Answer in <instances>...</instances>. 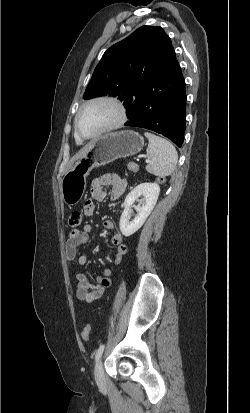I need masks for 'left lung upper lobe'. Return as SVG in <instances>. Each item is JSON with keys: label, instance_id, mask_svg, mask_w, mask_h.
Segmentation results:
<instances>
[{"label": "left lung upper lobe", "instance_id": "obj_1", "mask_svg": "<svg viewBox=\"0 0 250 413\" xmlns=\"http://www.w3.org/2000/svg\"><path fill=\"white\" fill-rule=\"evenodd\" d=\"M172 50L171 40L161 27L138 28L103 54L83 98L109 94L118 96L126 107L144 80L162 74Z\"/></svg>", "mask_w": 250, "mask_h": 413}]
</instances>
